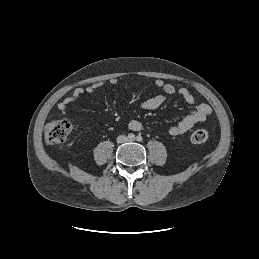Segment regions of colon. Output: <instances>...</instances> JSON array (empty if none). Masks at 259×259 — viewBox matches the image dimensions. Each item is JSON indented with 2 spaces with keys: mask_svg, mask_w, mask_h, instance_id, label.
<instances>
[{
  "mask_svg": "<svg viewBox=\"0 0 259 259\" xmlns=\"http://www.w3.org/2000/svg\"><path fill=\"white\" fill-rule=\"evenodd\" d=\"M71 122L67 119H51L44 129L45 141L49 145H59L67 141L71 132ZM207 130L198 128L191 134V141L194 144H203L208 140Z\"/></svg>",
  "mask_w": 259,
  "mask_h": 259,
  "instance_id": "obj_1",
  "label": "colon"
}]
</instances>
